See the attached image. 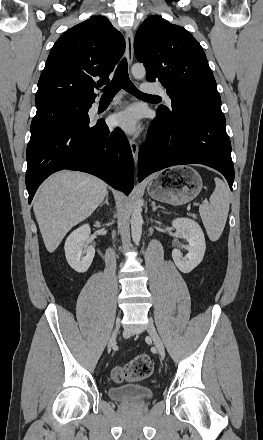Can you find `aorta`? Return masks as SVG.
Segmentation results:
<instances>
[{"mask_svg":"<svg viewBox=\"0 0 263 440\" xmlns=\"http://www.w3.org/2000/svg\"><path fill=\"white\" fill-rule=\"evenodd\" d=\"M146 74L145 67L142 64H134L132 67V75L136 79H142ZM131 235L132 240L135 244H138L142 235V209L140 205L136 204L133 207L132 216H131Z\"/></svg>","mask_w":263,"mask_h":440,"instance_id":"obj_1","label":"aorta"}]
</instances>
